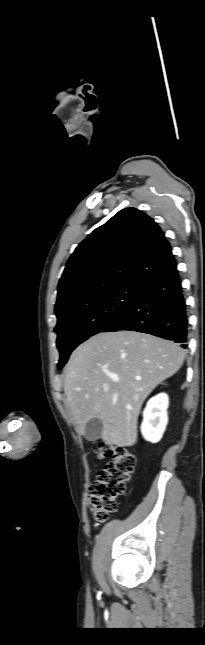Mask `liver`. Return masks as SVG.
<instances>
[{
    "instance_id": "6515ba94",
    "label": "liver",
    "mask_w": 205,
    "mask_h": 645,
    "mask_svg": "<svg viewBox=\"0 0 205 645\" xmlns=\"http://www.w3.org/2000/svg\"><path fill=\"white\" fill-rule=\"evenodd\" d=\"M178 344L135 331L98 333L79 345L65 370L64 392L78 434L92 418L101 438L117 446L137 441L144 400L183 365Z\"/></svg>"
}]
</instances>
